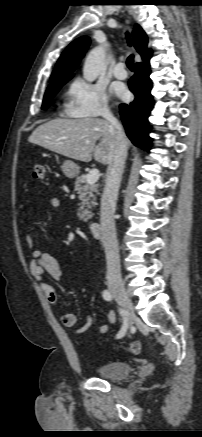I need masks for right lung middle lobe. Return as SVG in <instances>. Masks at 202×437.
Segmentation results:
<instances>
[{"mask_svg":"<svg viewBox=\"0 0 202 437\" xmlns=\"http://www.w3.org/2000/svg\"><path fill=\"white\" fill-rule=\"evenodd\" d=\"M70 79H64V80H60L54 84H51L48 89L46 90L45 96H44V100H43V104H42V109L45 110L52 98L54 97V95L59 91V89Z\"/></svg>","mask_w":202,"mask_h":437,"instance_id":"1","label":"right lung middle lobe"}]
</instances>
